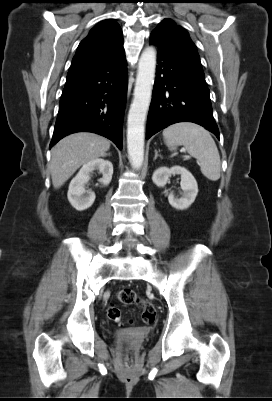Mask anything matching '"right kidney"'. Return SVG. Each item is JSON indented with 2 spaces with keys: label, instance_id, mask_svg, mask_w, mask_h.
<instances>
[{
  "label": "right kidney",
  "instance_id": "1",
  "mask_svg": "<svg viewBox=\"0 0 272 401\" xmlns=\"http://www.w3.org/2000/svg\"><path fill=\"white\" fill-rule=\"evenodd\" d=\"M94 170L102 173L99 180L104 186L109 185L113 175V165L104 159H94L84 164L78 174L72 179L69 185L67 197L70 204L78 211H83L92 206L95 201V193L85 190V184L90 180V174Z\"/></svg>",
  "mask_w": 272,
  "mask_h": 401
}]
</instances>
